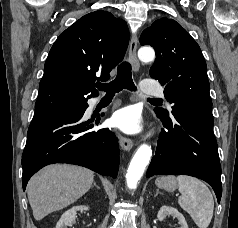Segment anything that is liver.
<instances>
[{
    "label": "liver",
    "mask_w": 238,
    "mask_h": 228,
    "mask_svg": "<svg viewBox=\"0 0 238 228\" xmlns=\"http://www.w3.org/2000/svg\"><path fill=\"white\" fill-rule=\"evenodd\" d=\"M93 181L94 173L83 167L62 164L44 167L27 185L34 218L39 221L71 205L90 189Z\"/></svg>",
    "instance_id": "6515ba94"
}]
</instances>
